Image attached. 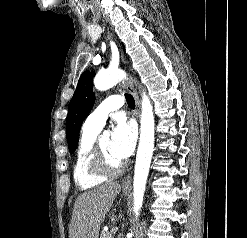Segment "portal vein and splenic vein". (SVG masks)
I'll return each mask as SVG.
<instances>
[{"mask_svg": "<svg viewBox=\"0 0 247 238\" xmlns=\"http://www.w3.org/2000/svg\"><path fill=\"white\" fill-rule=\"evenodd\" d=\"M118 231V227H113L112 229H111V232L112 233H116Z\"/></svg>", "mask_w": 247, "mask_h": 238, "instance_id": "18ae733b", "label": "portal vein and splenic vein"}]
</instances>
